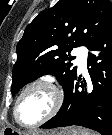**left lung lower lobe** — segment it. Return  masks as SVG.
Wrapping results in <instances>:
<instances>
[{
	"instance_id": "1",
	"label": "left lung lower lobe",
	"mask_w": 112,
	"mask_h": 135,
	"mask_svg": "<svg viewBox=\"0 0 112 135\" xmlns=\"http://www.w3.org/2000/svg\"><path fill=\"white\" fill-rule=\"evenodd\" d=\"M89 50L96 52L88 54L90 80L75 75L60 110L40 128L77 125L112 135V23Z\"/></svg>"
}]
</instances>
